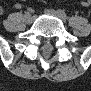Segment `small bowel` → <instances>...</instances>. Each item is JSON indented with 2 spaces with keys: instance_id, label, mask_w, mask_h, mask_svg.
I'll list each match as a JSON object with an SVG mask.
<instances>
[{
  "instance_id": "small-bowel-1",
  "label": "small bowel",
  "mask_w": 91,
  "mask_h": 91,
  "mask_svg": "<svg viewBox=\"0 0 91 91\" xmlns=\"http://www.w3.org/2000/svg\"><path fill=\"white\" fill-rule=\"evenodd\" d=\"M83 6L87 7V6H88V3H87V2H85V3L83 4Z\"/></svg>"
}]
</instances>
